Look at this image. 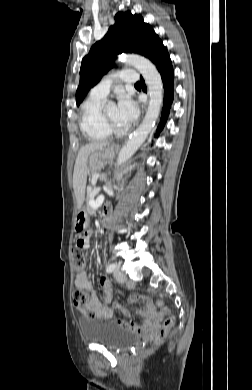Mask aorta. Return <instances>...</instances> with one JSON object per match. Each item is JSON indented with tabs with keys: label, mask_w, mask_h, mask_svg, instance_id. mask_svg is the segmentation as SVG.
Listing matches in <instances>:
<instances>
[{
	"label": "aorta",
	"mask_w": 252,
	"mask_h": 390,
	"mask_svg": "<svg viewBox=\"0 0 252 390\" xmlns=\"http://www.w3.org/2000/svg\"><path fill=\"white\" fill-rule=\"evenodd\" d=\"M121 59L142 74L148 87L150 100L142 123L120 150L117 166L125 163L146 140L158 119L163 102V84L156 67L148 59L139 55L129 54Z\"/></svg>",
	"instance_id": "1"
}]
</instances>
